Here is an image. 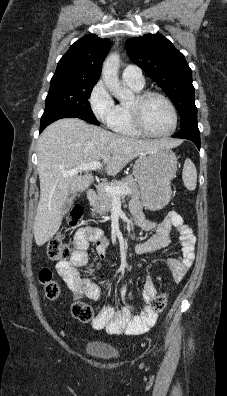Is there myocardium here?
Returning <instances> with one entry per match:
<instances>
[{
  "label": "myocardium",
  "instance_id": "1",
  "mask_svg": "<svg viewBox=\"0 0 227 396\" xmlns=\"http://www.w3.org/2000/svg\"><path fill=\"white\" fill-rule=\"evenodd\" d=\"M156 96L161 98L169 107L172 117H173V125L171 129L167 132L164 133H156L147 128L145 125L144 119H143V105L145 101L152 97ZM130 112H131V117L133 120V123L135 127L144 135L150 136V137H157V138H163V137H168L171 136L177 129L178 126V112L177 109L174 105V103L171 101V99L166 96L165 94L155 91V90H143L141 92H138L134 99L130 102Z\"/></svg>",
  "mask_w": 227,
  "mask_h": 396
}]
</instances>
